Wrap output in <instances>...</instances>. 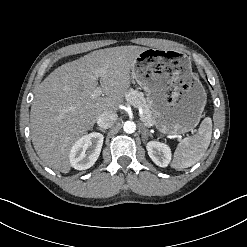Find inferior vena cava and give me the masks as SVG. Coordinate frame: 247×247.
Here are the masks:
<instances>
[{
  "mask_svg": "<svg viewBox=\"0 0 247 247\" xmlns=\"http://www.w3.org/2000/svg\"><path fill=\"white\" fill-rule=\"evenodd\" d=\"M117 120V114L111 111H105L97 118V124L100 128L107 129L113 126Z\"/></svg>",
  "mask_w": 247,
  "mask_h": 247,
  "instance_id": "602c4592",
  "label": "inferior vena cava"
}]
</instances>
